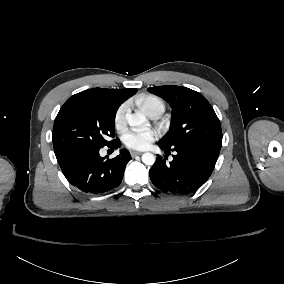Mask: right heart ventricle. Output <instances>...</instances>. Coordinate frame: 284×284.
<instances>
[{
  "label": "right heart ventricle",
  "mask_w": 284,
  "mask_h": 284,
  "mask_svg": "<svg viewBox=\"0 0 284 284\" xmlns=\"http://www.w3.org/2000/svg\"><path fill=\"white\" fill-rule=\"evenodd\" d=\"M142 106L148 114L156 111H159L162 114L165 110L164 101L160 97L152 94H147L143 97Z\"/></svg>",
  "instance_id": "1"
}]
</instances>
